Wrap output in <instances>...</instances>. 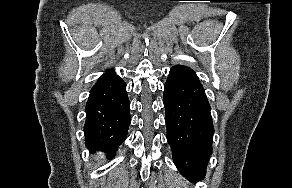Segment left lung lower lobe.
Returning a JSON list of instances; mask_svg holds the SVG:
<instances>
[{"instance_id": "left-lung-lower-lobe-1", "label": "left lung lower lobe", "mask_w": 292, "mask_h": 188, "mask_svg": "<svg viewBox=\"0 0 292 188\" xmlns=\"http://www.w3.org/2000/svg\"><path fill=\"white\" fill-rule=\"evenodd\" d=\"M163 102L173 161L180 173L193 179L205 173L214 128L204 89L191 68L183 65L171 68Z\"/></svg>"}]
</instances>
